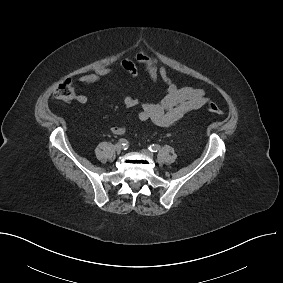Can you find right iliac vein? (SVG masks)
Returning <instances> with one entry per match:
<instances>
[{"label":"right iliac vein","mask_w":283,"mask_h":283,"mask_svg":"<svg viewBox=\"0 0 283 283\" xmlns=\"http://www.w3.org/2000/svg\"><path fill=\"white\" fill-rule=\"evenodd\" d=\"M114 149L117 153H120L123 149L122 145L121 144H117L114 146Z\"/></svg>","instance_id":"obj_1"}]
</instances>
